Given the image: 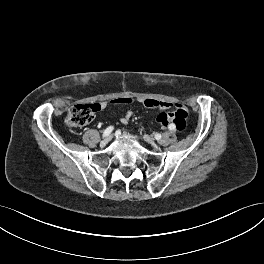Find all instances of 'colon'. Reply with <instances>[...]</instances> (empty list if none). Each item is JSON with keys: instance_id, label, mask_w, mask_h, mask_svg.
I'll return each instance as SVG.
<instances>
[{"instance_id": "obj_1", "label": "colon", "mask_w": 264, "mask_h": 264, "mask_svg": "<svg viewBox=\"0 0 264 264\" xmlns=\"http://www.w3.org/2000/svg\"><path fill=\"white\" fill-rule=\"evenodd\" d=\"M129 98H118L111 101L116 102H129ZM101 109L99 103L94 104H76L73 105L67 114L66 123L71 128H80L90 123L94 114ZM188 112L182 105H177L176 109L172 112L160 113L156 120L162 127L174 125L177 131L185 129L187 124Z\"/></svg>"}]
</instances>
